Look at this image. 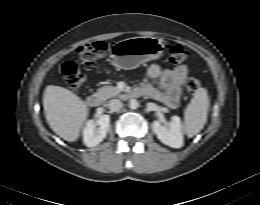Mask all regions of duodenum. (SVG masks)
<instances>
[{"instance_id": "duodenum-1", "label": "duodenum", "mask_w": 260, "mask_h": 205, "mask_svg": "<svg viewBox=\"0 0 260 205\" xmlns=\"http://www.w3.org/2000/svg\"><path fill=\"white\" fill-rule=\"evenodd\" d=\"M141 95H143L141 90H133V91L122 93L121 97L124 99H134L140 97ZM85 101L88 107L90 108H98L101 106L102 103L101 98L96 94L88 95Z\"/></svg>"}]
</instances>
